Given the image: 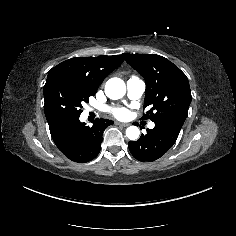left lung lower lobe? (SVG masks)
<instances>
[{"mask_svg":"<svg viewBox=\"0 0 236 236\" xmlns=\"http://www.w3.org/2000/svg\"><path fill=\"white\" fill-rule=\"evenodd\" d=\"M184 121L177 117L155 121V127L147 129V134H142L137 141H129L131 154L141 162L161 158L176 142Z\"/></svg>","mask_w":236,"mask_h":236,"instance_id":"1","label":"left lung lower lobe"}]
</instances>
